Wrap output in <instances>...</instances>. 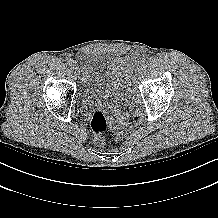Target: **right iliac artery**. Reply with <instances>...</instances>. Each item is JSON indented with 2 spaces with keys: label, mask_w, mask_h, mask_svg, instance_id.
<instances>
[{
  "label": "right iliac artery",
  "mask_w": 218,
  "mask_h": 218,
  "mask_svg": "<svg viewBox=\"0 0 218 218\" xmlns=\"http://www.w3.org/2000/svg\"><path fill=\"white\" fill-rule=\"evenodd\" d=\"M66 62H67L68 65H72V64L74 63V60L71 59V58H68V59L66 60Z\"/></svg>",
  "instance_id": "right-iliac-artery-1"
}]
</instances>
